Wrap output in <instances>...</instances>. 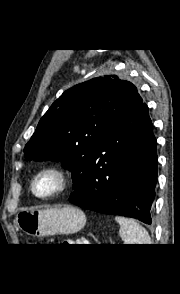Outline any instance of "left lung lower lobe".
<instances>
[{"instance_id":"1","label":"left lung lower lobe","mask_w":180,"mask_h":294,"mask_svg":"<svg viewBox=\"0 0 180 294\" xmlns=\"http://www.w3.org/2000/svg\"><path fill=\"white\" fill-rule=\"evenodd\" d=\"M158 157L148 107L138 94L95 151L80 190L82 208L151 224Z\"/></svg>"}]
</instances>
